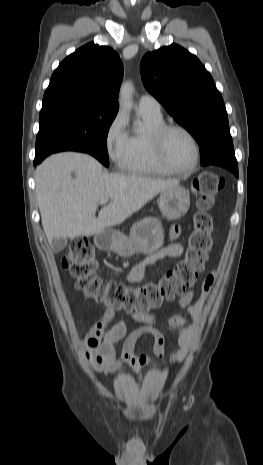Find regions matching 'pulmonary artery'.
<instances>
[{"label":"pulmonary artery","instance_id":"e3ab8cb5","mask_svg":"<svg viewBox=\"0 0 263 465\" xmlns=\"http://www.w3.org/2000/svg\"><path fill=\"white\" fill-rule=\"evenodd\" d=\"M137 108L140 114L162 116L160 103L155 97L149 94H144L139 98Z\"/></svg>","mask_w":263,"mask_h":465}]
</instances>
